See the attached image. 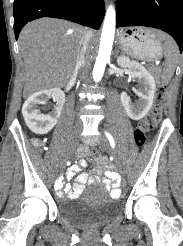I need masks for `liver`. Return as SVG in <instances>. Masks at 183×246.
Masks as SVG:
<instances>
[{"label": "liver", "mask_w": 183, "mask_h": 246, "mask_svg": "<svg viewBox=\"0 0 183 246\" xmlns=\"http://www.w3.org/2000/svg\"><path fill=\"white\" fill-rule=\"evenodd\" d=\"M85 32L94 37L92 30L52 18L32 21L22 29L19 44L25 64V98L68 83Z\"/></svg>", "instance_id": "1"}]
</instances>
